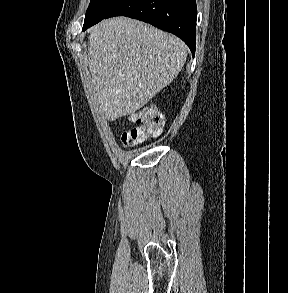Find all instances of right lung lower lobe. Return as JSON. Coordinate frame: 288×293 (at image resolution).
I'll return each instance as SVG.
<instances>
[{
    "instance_id": "right-lung-lower-lobe-1",
    "label": "right lung lower lobe",
    "mask_w": 288,
    "mask_h": 293,
    "mask_svg": "<svg viewBox=\"0 0 288 293\" xmlns=\"http://www.w3.org/2000/svg\"><path fill=\"white\" fill-rule=\"evenodd\" d=\"M114 16L135 18L173 33L188 45L193 56L195 54V0H124L106 18Z\"/></svg>"
}]
</instances>
